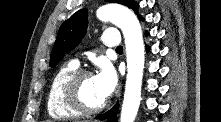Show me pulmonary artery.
Returning <instances> with one entry per match:
<instances>
[{"label": "pulmonary artery", "mask_w": 221, "mask_h": 122, "mask_svg": "<svg viewBox=\"0 0 221 122\" xmlns=\"http://www.w3.org/2000/svg\"><path fill=\"white\" fill-rule=\"evenodd\" d=\"M102 43L111 48H117L120 46V37L116 30L108 29L103 32L101 36ZM78 63V60H75Z\"/></svg>", "instance_id": "obj_1"}]
</instances>
